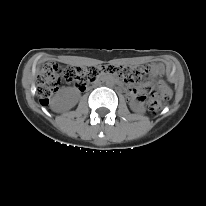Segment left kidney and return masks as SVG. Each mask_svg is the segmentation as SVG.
Wrapping results in <instances>:
<instances>
[{
	"label": "left kidney",
	"instance_id": "left-kidney-1",
	"mask_svg": "<svg viewBox=\"0 0 206 206\" xmlns=\"http://www.w3.org/2000/svg\"><path fill=\"white\" fill-rule=\"evenodd\" d=\"M131 108L136 111V112H140L142 111V105L141 104H138V103H133L131 105Z\"/></svg>",
	"mask_w": 206,
	"mask_h": 206
}]
</instances>
